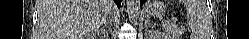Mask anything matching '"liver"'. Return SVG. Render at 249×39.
<instances>
[{
	"label": "liver",
	"instance_id": "6515ba94",
	"mask_svg": "<svg viewBox=\"0 0 249 39\" xmlns=\"http://www.w3.org/2000/svg\"><path fill=\"white\" fill-rule=\"evenodd\" d=\"M112 9V0H39L40 37L93 39Z\"/></svg>",
	"mask_w": 249,
	"mask_h": 39
}]
</instances>
